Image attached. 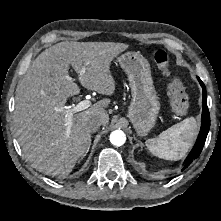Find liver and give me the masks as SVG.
Segmentation results:
<instances>
[{
  "label": "liver",
  "instance_id": "1",
  "mask_svg": "<svg viewBox=\"0 0 221 221\" xmlns=\"http://www.w3.org/2000/svg\"><path fill=\"white\" fill-rule=\"evenodd\" d=\"M129 46L113 42H73L55 44L40 53L16 88L14 129L27 160L40 172L69 174L77 160L88 152L91 135L87 121L99 117L109 124V99L93 104L72 117L66 127L67 98L80 89L69 74L77 72L82 86L100 94L112 95L115 81L112 60Z\"/></svg>",
  "mask_w": 221,
  "mask_h": 221
}]
</instances>
